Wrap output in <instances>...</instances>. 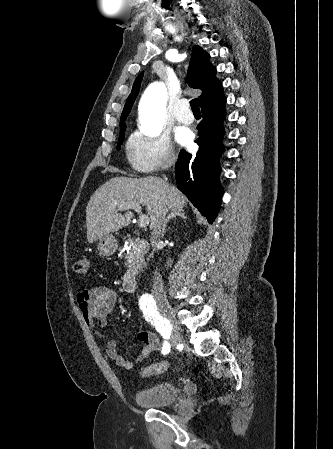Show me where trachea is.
Wrapping results in <instances>:
<instances>
[{
    "instance_id": "trachea-1",
    "label": "trachea",
    "mask_w": 333,
    "mask_h": 449,
    "mask_svg": "<svg viewBox=\"0 0 333 449\" xmlns=\"http://www.w3.org/2000/svg\"><path fill=\"white\" fill-rule=\"evenodd\" d=\"M190 106L193 112H200L199 100L197 98L190 101Z\"/></svg>"
}]
</instances>
